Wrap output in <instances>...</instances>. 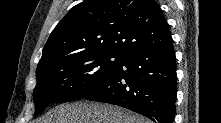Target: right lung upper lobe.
<instances>
[{
	"instance_id": "cb5924a9",
	"label": "right lung upper lobe",
	"mask_w": 221,
	"mask_h": 123,
	"mask_svg": "<svg viewBox=\"0 0 221 123\" xmlns=\"http://www.w3.org/2000/svg\"><path fill=\"white\" fill-rule=\"evenodd\" d=\"M171 37L154 0H86L74 6L47 40L38 66L93 50L127 54Z\"/></svg>"
}]
</instances>
